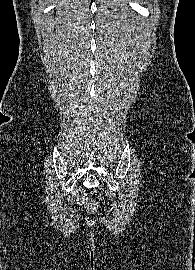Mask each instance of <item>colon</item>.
<instances>
[{
	"label": "colon",
	"instance_id": "1",
	"mask_svg": "<svg viewBox=\"0 0 195 270\" xmlns=\"http://www.w3.org/2000/svg\"><path fill=\"white\" fill-rule=\"evenodd\" d=\"M79 203L85 207L89 212H96L97 211V208H98V205L96 203V201L92 200V199H89L87 197H81L79 198Z\"/></svg>",
	"mask_w": 195,
	"mask_h": 270
}]
</instances>
